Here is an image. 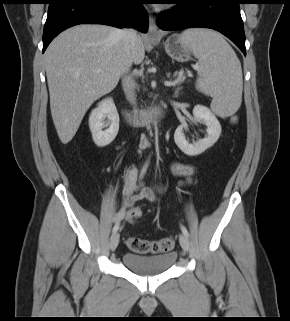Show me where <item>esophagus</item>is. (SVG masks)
<instances>
[{
    "label": "esophagus",
    "instance_id": "1",
    "mask_svg": "<svg viewBox=\"0 0 290 321\" xmlns=\"http://www.w3.org/2000/svg\"><path fill=\"white\" fill-rule=\"evenodd\" d=\"M160 37V31L158 29V26L156 24L155 18L153 15L149 16V28L148 33L146 35V38L149 40H156Z\"/></svg>",
    "mask_w": 290,
    "mask_h": 321
}]
</instances>
